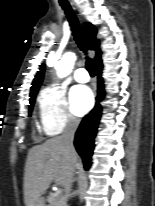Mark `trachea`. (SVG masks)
<instances>
[{"mask_svg":"<svg viewBox=\"0 0 155 206\" xmlns=\"http://www.w3.org/2000/svg\"><path fill=\"white\" fill-rule=\"evenodd\" d=\"M60 5L67 15V18L69 20L71 30L73 32V36H74L76 43L78 44L79 48L85 54H87L86 41H85L84 34L81 30L77 17L72 11L70 4L65 0H60ZM86 68L91 76L95 75L96 68H95V62L93 59L86 57Z\"/></svg>","mask_w":155,"mask_h":206,"instance_id":"1","label":"trachea"}]
</instances>
